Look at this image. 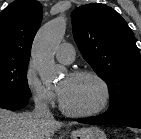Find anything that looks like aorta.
Segmentation results:
<instances>
[{
    "label": "aorta",
    "mask_w": 141,
    "mask_h": 139,
    "mask_svg": "<svg viewBox=\"0 0 141 139\" xmlns=\"http://www.w3.org/2000/svg\"><path fill=\"white\" fill-rule=\"evenodd\" d=\"M65 31L66 18L61 15L41 27L35 37L32 60L46 85L57 79L60 73L54 63V53L64 38Z\"/></svg>",
    "instance_id": "762f6f07"
}]
</instances>
